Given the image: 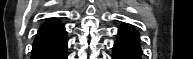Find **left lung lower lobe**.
<instances>
[{"instance_id":"0a47b994","label":"left lung lower lobe","mask_w":193,"mask_h":59,"mask_svg":"<svg viewBox=\"0 0 193 59\" xmlns=\"http://www.w3.org/2000/svg\"><path fill=\"white\" fill-rule=\"evenodd\" d=\"M113 47V59H141L139 34L130 25H122Z\"/></svg>"}]
</instances>
